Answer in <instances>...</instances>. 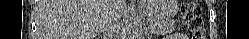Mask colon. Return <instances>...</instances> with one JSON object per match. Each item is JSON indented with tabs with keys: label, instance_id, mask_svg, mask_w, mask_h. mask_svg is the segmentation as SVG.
Instances as JSON below:
<instances>
[{
	"label": "colon",
	"instance_id": "1",
	"mask_svg": "<svg viewBox=\"0 0 249 39\" xmlns=\"http://www.w3.org/2000/svg\"><path fill=\"white\" fill-rule=\"evenodd\" d=\"M187 5L183 8V17L187 24L188 30L193 34V39L202 37L201 25L199 22V8L195 1H187Z\"/></svg>",
	"mask_w": 249,
	"mask_h": 39
}]
</instances>
